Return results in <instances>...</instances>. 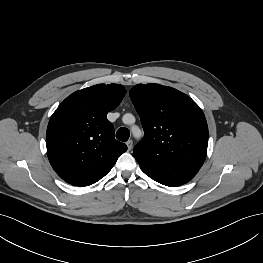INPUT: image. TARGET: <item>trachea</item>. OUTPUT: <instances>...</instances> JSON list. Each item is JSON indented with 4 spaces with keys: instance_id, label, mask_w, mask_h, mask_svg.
<instances>
[{
    "instance_id": "1",
    "label": "trachea",
    "mask_w": 263,
    "mask_h": 263,
    "mask_svg": "<svg viewBox=\"0 0 263 263\" xmlns=\"http://www.w3.org/2000/svg\"><path fill=\"white\" fill-rule=\"evenodd\" d=\"M130 132L127 128H120L116 132V138L122 142H126L129 139Z\"/></svg>"
}]
</instances>
